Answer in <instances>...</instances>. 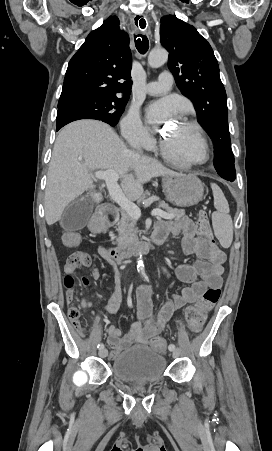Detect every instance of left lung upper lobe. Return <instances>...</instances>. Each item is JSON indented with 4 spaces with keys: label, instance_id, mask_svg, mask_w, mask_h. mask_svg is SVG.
<instances>
[{
    "label": "left lung upper lobe",
    "instance_id": "1",
    "mask_svg": "<svg viewBox=\"0 0 272 451\" xmlns=\"http://www.w3.org/2000/svg\"><path fill=\"white\" fill-rule=\"evenodd\" d=\"M160 42L169 52L168 67L177 86L193 102L198 122L214 140L217 173L224 179L236 178L227 96L210 44L196 28L175 15L161 18Z\"/></svg>",
    "mask_w": 272,
    "mask_h": 451
}]
</instances>
